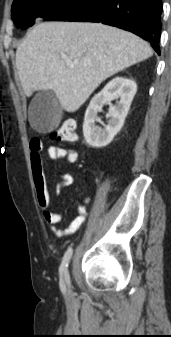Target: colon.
Wrapping results in <instances>:
<instances>
[{
    "label": "colon",
    "instance_id": "1",
    "mask_svg": "<svg viewBox=\"0 0 171 337\" xmlns=\"http://www.w3.org/2000/svg\"><path fill=\"white\" fill-rule=\"evenodd\" d=\"M50 137L57 142H75L78 138L76 122L73 119L65 120L51 132Z\"/></svg>",
    "mask_w": 171,
    "mask_h": 337
}]
</instances>
